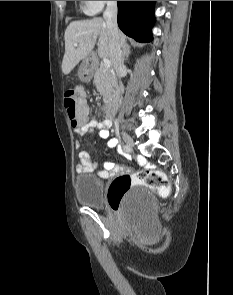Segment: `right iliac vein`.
I'll return each mask as SVG.
<instances>
[{"label":"right iliac vein","mask_w":233,"mask_h":295,"mask_svg":"<svg viewBox=\"0 0 233 295\" xmlns=\"http://www.w3.org/2000/svg\"><path fill=\"white\" fill-rule=\"evenodd\" d=\"M122 138L125 144H127L128 152H131L133 149V139L127 133H122Z\"/></svg>","instance_id":"obj_1"}]
</instances>
